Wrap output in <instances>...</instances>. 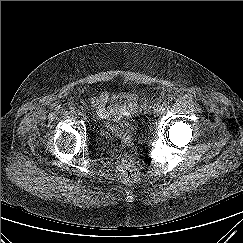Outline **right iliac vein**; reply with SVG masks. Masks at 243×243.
Listing matches in <instances>:
<instances>
[{
    "mask_svg": "<svg viewBox=\"0 0 243 243\" xmlns=\"http://www.w3.org/2000/svg\"><path fill=\"white\" fill-rule=\"evenodd\" d=\"M80 117L83 118V119H85L86 118V115L84 113H81L80 114Z\"/></svg>",
    "mask_w": 243,
    "mask_h": 243,
    "instance_id": "63e3f726",
    "label": "right iliac vein"
}]
</instances>
